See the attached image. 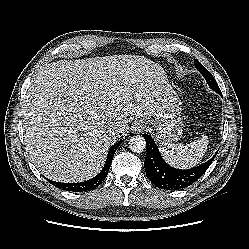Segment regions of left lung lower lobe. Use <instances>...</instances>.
<instances>
[{"instance_id":"1","label":"left lung lower lobe","mask_w":249,"mask_h":249,"mask_svg":"<svg viewBox=\"0 0 249 249\" xmlns=\"http://www.w3.org/2000/svg\"><path fill=\"white\" fill-rule=\"evenodd\" d=\"M219 94L222 96L221 93ZM144 138L147 143V154L144 161L146 175L155 186L161 189L178 190L190 186L205 173L214 159L213 157L192 169H176L165 163L150 135L144 134Z\"/></svg>"}]
</instances>
